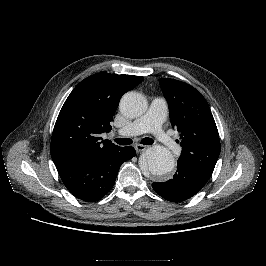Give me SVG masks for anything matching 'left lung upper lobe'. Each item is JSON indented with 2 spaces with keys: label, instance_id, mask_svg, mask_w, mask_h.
Segmentation results:
<instances>
[{
  "label": "left lung upper lobe",
  "instance_id": "left-lung-upper-lobe-1",
  "mask_svg": "<svg viewBox=\"0 0 266 266\" xmlns=\"http://www.w3.org/2000/svg\"><path fill=\"white\" fill-rule=\"evenodd\" d=\"M159 83L168 101L171 124L181 133L177 164L211 177L220 154V139L207 101L187 83L166 78Z\"/></svg>",
  "mask_w": 266,
  "mask_h": 266
}]
</instances>
